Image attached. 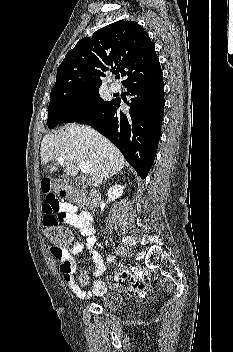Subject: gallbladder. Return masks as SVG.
Segmentation results:
<instances>
[{
  "label": "gallbladder",
  "mask_w": 233,
  "mask_h": 352,
  "mask_svg": "<svg viewBox=\"0 0 233 352\" xmlns=\"http://www.w3.org/2000/svg\"><path fill=\"white\" fill-rule=\"evenodd\" d=\"M82 186H84V184L79 180L72 182L70 185L71 189H78Z\"/></svg>",
  "instance_id": "gallbladder-1"
}]
</instances>
